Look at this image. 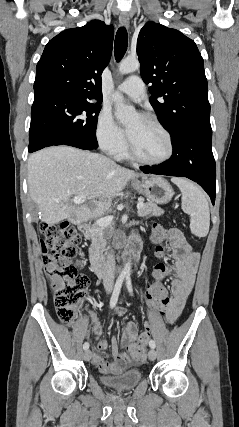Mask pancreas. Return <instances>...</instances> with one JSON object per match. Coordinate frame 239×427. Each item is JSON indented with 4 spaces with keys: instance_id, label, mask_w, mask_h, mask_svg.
Masks as SVG:
<instances>
[{
    "instance_id": "obj_1",
    "label": "pancreas",
    "mask_w": 239,
    "mask_h": 427,
    "mask_svg": "<svg viewBox=\"0 0 239 427\" xmlns=\"http://www.w3.org/2000/svg\"><path fill=\"white\" fill-rule=\"evenodd\" d=\"M164 211L159 208L155 203L149 202L144 204V207L138 211V216L148 217V216H160ZM94 233L92 236V243L99 254H102L105 251L106 239L110 238L113 234L112 227L102 228L99 226H94Z\"/></svg>"
}]
</instances>
